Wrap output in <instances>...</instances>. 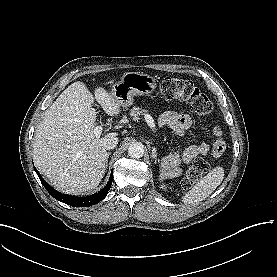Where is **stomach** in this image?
Listing matches in <instances>:
<instances>
[{"instance_id":"0dacf381","label":"stomach","mask_w":277,"mask_h":277,"mask_svg":"<svg viewBox=\"0 0 277 277\" xmlns=\"http://www.w3.org/2000/svg\"><path fill=\"white\" fill-rule=\"evenodd\" d=\"M157 87L156 79L141 72H126L120 81L113 84L110 94L127 108L133 104L134 96H145L153 93Z\"/></svg>"}]
</instances>
